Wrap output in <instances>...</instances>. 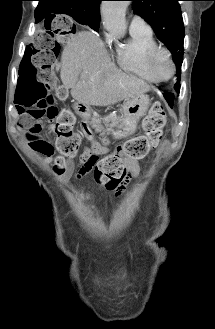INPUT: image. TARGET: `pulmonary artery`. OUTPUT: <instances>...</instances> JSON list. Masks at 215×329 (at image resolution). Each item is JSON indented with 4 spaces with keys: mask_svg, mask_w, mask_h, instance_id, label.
Here are the masks:
<instances>
[{
    "mask_svg": "<svg viewBox=\"0 0 215 329\" xmlns=\"http://www.w3.org/2000/svg\"><path fill=\"white\" fill-rule=\"evenodd\" d=\"M129 30L130 32H152L151 27L138 15L132 17Z\"/></svg>",
    "mask_w": 215,
    "mask_h": 329,
    "instance_id": "e3ab8cb5",
    "label": "pulmonary artery"
}]
</instances>
